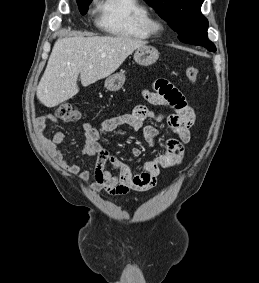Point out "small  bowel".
Wrapping results in <instances>:
<instances>
[{"label": "small bowel", "mask_w": 259, "mask_h": 283, "mask_svg": "<svg viewBox=\"0 0 259 283\" xmlns=\"http://www.w3.org/2000/svg\"><path fill=\"white\" fill-rule=\"evenodd\" d=\"M143 96L149 104L167 106L172 112L162 114L149 109L144 104H138L131 111L117 113L98 124L82 123L81 129L85 137L83 153L96 158L94 170L83 169L79 164H72L63 157L59 145L64 142L66 135L58 131L48 142L49 150L55 160L62 168L82 181L93 178L94 182L90 187L100 193L125 195L132 190L152 189L162 169L175 168L182 163L184 145L190 141V128L194 123L195 114L178 89L166 80L156 81L154 90L144 91ZM146 120L165 121L175 137L166 140L162 152L157 157L145 160L139 171L135 172L128 164L115 156L110 148L103 145L101 140L109 133L126 125L133 130L141 129L149 144L158 146V131L153 126H144ZM48 121L56 123L57 119L52 114H44L35 120L36 131L40 138H43ZM131 152L135 157L142 154V150L137 147ZM107 162L112 164L114 172L105 168Z\"/></svg>", "instance_id": "1"}]
</instances>
